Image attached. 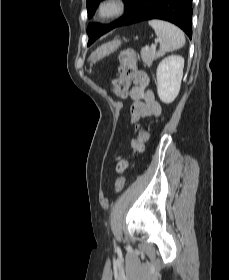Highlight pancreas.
Wrapping results in <instances>:
<instances>
[{"label": "pancreas", "instance_id": "pancreas-1", "mask_svg": "<svg viewBox=\"0 0 229 280\" xmlns=\"http://www.w3.org/2000/svg\"><path fill=\"white\" fill-rule=\"evenodd\" d=\"M160 56H161L160 52H156L155 50L152 49H144L141 51V58L145 63V65H147L148 67H150L152 62L155 59L159 58Z\"/></svg>", "mask_w": 229, "mask_h": 280}]
</instances>
